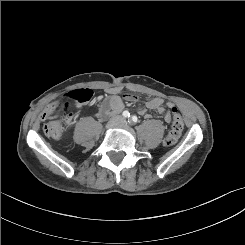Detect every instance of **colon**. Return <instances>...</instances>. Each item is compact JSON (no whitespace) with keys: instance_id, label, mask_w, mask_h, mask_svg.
<instances>
[{"instance_id":"colon-1","label":"colon","mask_w":245,"mask_h":245,"mask_svg":"<svg viewBox=\"0 0 245 245\" xmlns=\"http://www.w3.org/2000/svg\"><path fill=\"white\" fill-rule=\"evenodd\" d=\"M93 93L89 89H78L69 92L58 103L48 107L43 113L42 118L45 121V133L54 139H59L62 135L63 123L68 122L74 115V108L78 105L88 103L92 99ZM173 122L165 139V146H172L177 143L180 138L183 121L177 112V109L172 106Z\"/></svg>"}]
</instances>
